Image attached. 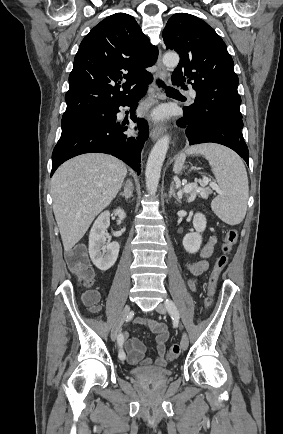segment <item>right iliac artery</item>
Here are the masks:
<instances>
[{
  "label": "right iliac artery",
  "instance_id": "1",
  "mask_svg": "<svg viewBox=\"0 0 283 434\" xmlns=\"http://www.w3.org/2000/svg\"><path fill=\"white\" fill-rule=\"evenodd\" d=\"M122 341H123V335L120 333V334L118 335V346H119V347L122 345ZM118 357H119L121 360H124V359H125V354H124L121 350H119Z\"/></svg>",
  "mask_w": 283,
  "mask_h": 434
}]
</instances>
